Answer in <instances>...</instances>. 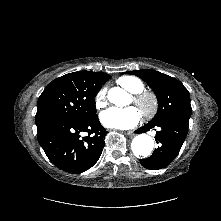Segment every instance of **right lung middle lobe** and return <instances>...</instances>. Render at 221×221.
Masks as SVG:
<instances>
[{
  "label": "right lung middle lobe",
  "mask_w": 221,
  "mask_h": 221,
  "mask_svg": "<svg viewBox=\"0 0 221 221\" xmlns=\"http://www.w3.org/2000/svg\"><path fill=\"white\" fill-rule=\"evenodd\" d=\"M100 87L89 86L71 74L53 80L38 99L37 127L57 120L83 121L96 117L94 98Z\"/></svg>",
  "instance_id": "obj_1"
}]
</instances>
